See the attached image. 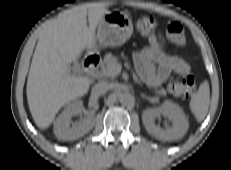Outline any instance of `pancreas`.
Segmentation results:
<instances>
[{
  "instance_id": "pancreas-1",
  "label": "pancreas",
  "mask_w": 231,
  "mask_h": 170,
  "mask_svg": "<svg viewBox=\"0 0 231 170\" xmlns=\"http://www.w3.org/2000/svg\"><path fill=\"white\" fill-rule=\"evenodd\" d=\"M115 64H119V63H118V59H117L115 56H113L111 53L106 54V56L104 57V60H103V65H102V68H101V72L104 73V72L109 71V70H110V67H111L112 65H115ZM104 76H105V75H104ZM108 77L113 78V77H115V76L110 75V76H108ZM155 92H156L158 95H160V96H164V95H166V93H167V91L164 90V89L155 90Z\"/></svg>"
}]
</instances>
